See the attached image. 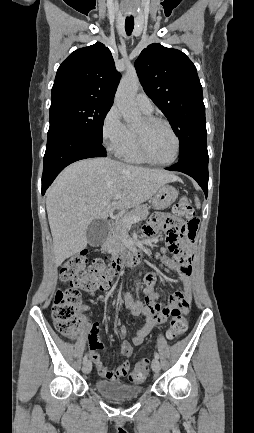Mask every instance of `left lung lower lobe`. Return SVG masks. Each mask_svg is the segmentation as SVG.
<instances>
[{
  "label": "left lung lower lobe",
  "mask_w": 254,
  "mask_h": 433,
  "mask_svg": "<svg viewBox=\"0 0 254 433\" xmlns=\"http://www.w3.org/2000/svg\"><path fill=\"white\" fill-rule=\"evenodd\" d=\"M208 160V154H194L183 160H179L177 164L166 168V170L183 172L194 178L203 189L207 198Z\"/></svg>",
  "instance_id": "0a47b994"
}]
</instances>
